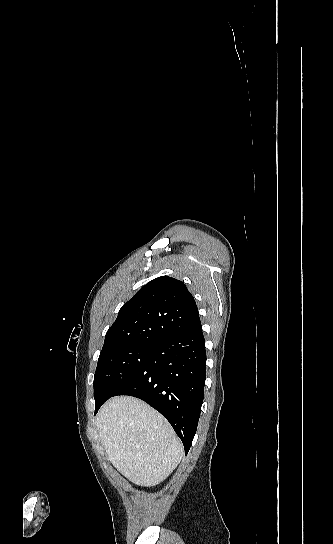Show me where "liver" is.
<instances>
[{
  "mask_svg": "<svg viewBox=\"0 0 333 544\" xmlns=\"http://www.w3.org/2000/svg\"><path fill=\"white\" fill-rule=\"evenodd\" d=\"M96 426L110 462L137 485H158L183 457L182 443L168 421L136 398L119 396L106 402Z\"/></svg>",
  "mask_w": 333,
  "mask_h": 544,
  "instance_id": "1",
  "label": "liver"
}]
</instances>
